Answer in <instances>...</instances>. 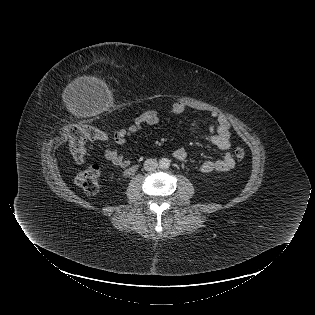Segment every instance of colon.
I'll return each instance as SVG.
<instances>
[{
  "instance_id": "1",
  "label": "colon",
  "mask_w": 315,
  "mask_h": 315,
  "mask_svg": "<svg viewBox=\"0 0 315 315\" xmlns=\"http://www.w3.org/2000/svg\"><path fill=\"white\" fill-rule=\"evenodd\" d=\"M69 151L77 163H83L86 156V145L89 141L106 140L107 135L103 131L87 125L74 126L67 131ZM234 155L238 161L245 157V151L237 147ZM100 168L92 164L76 175L77 184L89 195H94L99 189Z\"/></svg>"
}]
</instances>
